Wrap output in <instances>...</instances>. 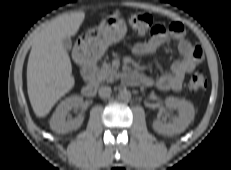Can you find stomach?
<instances>
[{
    "instance_id": "0dacf381",
    "label": "stomach",
    "mask_w": 231,
    "mask_h": 170,
    "mask_svg": "<svg viewBox=\"0 0 231 170\" xmlns=\"http://www.w3.org/2000/svg\"><path fill=\"white\" fill-rule=\"evenodd\" d=\"M127 32L126 23L118 16L103 18L98 27L88 30L79 40V48L94 59H99L108 47L121 41Z\"/></svg>"
}]
</instances>
